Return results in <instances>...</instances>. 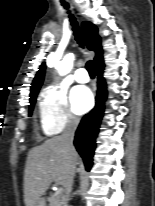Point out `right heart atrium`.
I'll list each match as a JSON object with an SVG mask.
<instances>
[{
	"label": "right heart atrium",
	"instance_id": "right-heart-atrium-1",
	"mask_svg": "<svg viewBox=\"0 0 155 206\" xmlns=\"http://www.w3.org/2000/svg\"><path fill=\"white\" fill-rule=\"evenodd\" d=\"M39 117L46 135H55L78 125V118L70 108L65 92L58 86H49L43 90Z\"/></svg>",
	"mask_w": 155,
	"mask_h": 206
}]
</instances>
